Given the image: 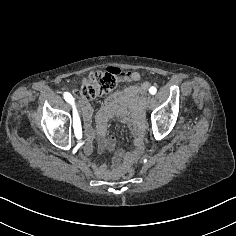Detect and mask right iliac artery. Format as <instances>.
Segmentation results:
<instances>
[{"label": "right iliac artery", "instance_id": "right-iliac-artery-1", "mask_svg": "<svg viewBox=\"0 0 236 236\" xmlns=\"http://www.w3.org/2000/svg\"><path fill=\"white\" fill-rule=\"evenodd\" d=\"M64 99L70 103L73 107V128H74V133L77 139L82 138V128H81V121L79 118V115L77 113V110L74 105V98L72 95L68 92L64 93Z\"/></svg>", "mask_w": 236, "mask_h": 236}]
</instances>
